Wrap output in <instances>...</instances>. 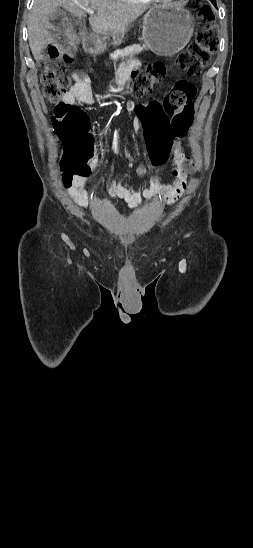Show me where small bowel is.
Wrapping results in <instances>:
<instances>
[{
    "instance_id": "c3829d8e",
    "label": "small bowel",
    "mask_w": 253,
    "mask_h": 548,
    "mask_svg": "<svg viewBox=\"0 0 253 548\" xmlns=\"http://www.w3.org/2000/svg\"><path fill=\"white\" fill-rule=\"evenodd\" d=\"M138 68L136 61H127L123 63L117 72L113 90L119 89L125 81ZM73 85L70 90L64 95L63 100L68 104H86L92 105L95 99L91 92L90 80L87 74L82 71L72 73ZM140 104L136 100H130L127 103L128 110L137 111ZM145 121H143L144 123ZM140 124V121H138ZM182 137H174L169 144V154L173 159L171 173L173 181L169 184L161 182L158 175L145 178L147 168L144 164H140L136 168V173L139 177L145 178L146 188L142 192H138L133 187L123 185L117 178H112L109 183L110 197L115 201H123L130 207L139 206L143 200H150L156 195L162 197L163 203L167 205L174 204L184 193L187 185L186 174L181 171V161L184 158V153L181 144ZM98 161L93 158L90 161L92 168L97 167ZM87 176L75 177L70 184L66 185L67 192L73 201L82 208L88 206L89 193L85 189Z\"/></svg>"
}]
</instances>
